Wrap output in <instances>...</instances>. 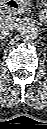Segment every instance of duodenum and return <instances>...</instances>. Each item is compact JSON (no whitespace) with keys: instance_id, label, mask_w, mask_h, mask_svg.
<instances>
[{"instance_id":"1","label":"duodenum","mask_w":47,"mask_h":129,"mask_svg":"<svg viewBox=\"0 0 47 129\" xmlns=\"http://www.w3.org/2000/svg\"><path fill=\"white\" fill-rule=\"evenodd\" d=\"M18 7V4L14 0H6L3 3V12L4 13H11Z\"/></svg>"}]
</instances>
